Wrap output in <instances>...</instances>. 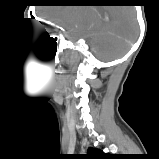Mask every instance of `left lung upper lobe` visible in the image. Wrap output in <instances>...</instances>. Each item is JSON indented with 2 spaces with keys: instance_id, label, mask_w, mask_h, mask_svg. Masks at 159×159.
Listing matches in <instances>:
<instances>
[{
  "instance_id": "left-lung-upper-lobe-1",
  "label": "left lung upper lobe",
  "mask_w": 159,
  "mask_h": 159,
  "mask_svg": "<svg viewBox=\"0 0 159 159\" xmlns=\"http://www.w3.org/2000/svg\"><path fill=\"white\" fill-rule=\"evenodd\" d=\"M115 156L111 154L104 153L103 151L89 148L86 155L83 156V159H114Z\"/></svg>"
}]
</instances>
